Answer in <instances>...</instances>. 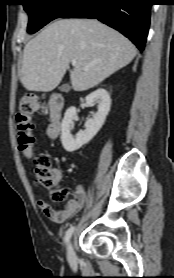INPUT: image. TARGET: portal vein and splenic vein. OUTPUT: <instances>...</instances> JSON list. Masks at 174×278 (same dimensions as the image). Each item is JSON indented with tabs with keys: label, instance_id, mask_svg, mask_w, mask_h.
Returning <instances> with one entry per match:
<instances>
[{
	"label": "portal vein and splenic vein",
	"instance_id": "obj_1",
	"mask_svg": "<svg viewBox=\"0 0 174 278\" xmlns=\"http://www.w3.org/2000/svg\"><path fill=\"white\" fill-rule=\"evenodd\" d=\"M71 63H72L73 66L76 65V61H75V60H72ZM83 69H84V70H88V69H89V66H88V65H87V66H84Z\"/></svg>",
	"mask_w": 174,
	"mask_h": 278
}]
</instances>
